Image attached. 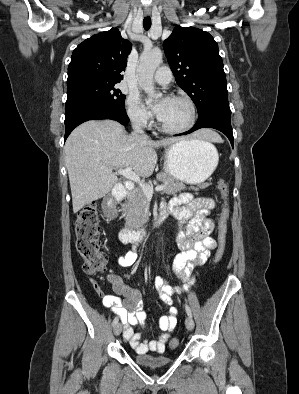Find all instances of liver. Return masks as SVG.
Returning a JSON list of instances; mask_svg holds the SVG:
<instances>
[{
	"label": "liver",
	"mask_w": 299,
	"mask_h": 394,
	"mask_svg": "<svg viewBox=\"0 0 299 394\" xmlns=\"http://www.w3.org/2000/svg\"><path fill=\"white\" fill-rule=\"evenodd\" d=\"M193 138L221 141L217 133L208 129L197 131ZM181 140L153 141L135 133L127 135L124 127L114 120H91L79 125L64 146L73 212L111 191L117 182L113 169L131 167L138 176L149 177L157 163L155 149Z\"/></svg>",
	"instance_id": "liver-1"
}]
</instances>
